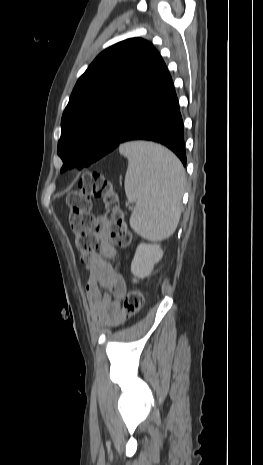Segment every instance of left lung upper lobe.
<instances>
[{
    "label": "left lung upper lobe",
    "instance_id": "obj_1",
    "mask_svg": "<svg viewBox=\"0 0 263 465\" xmlns=\"http://www.w3.org/2000/svg\"><path fill=\"white\" fill-rule=\"evenodd\" d=\"M160 58L140 38L121 41L100 53L77 81L61 120L57 153L90 160L106 141L120 108L131 102L143 78Z\"/></svg>",
    "mask_w": 263,
    "mask_h": 465
}]
</instances>
